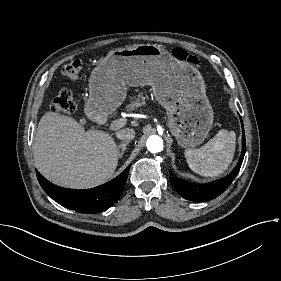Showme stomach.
Listing matches in <instances>:
<instances>
[{
  "label": "stomach",
  "mask_w": 281,
  "mask_h": 281,
  "mask_svg": "<svg viewBox=\"0 0 281 281\" xmlns=\"http://www.w3.org/2000/svg\"><path fill=\"white\" fill-rule=\"evenodd\" d=\"M152 85L167 110L171 133L182 147L201 144L213 127L214 112L201 73L158 45L140 44L110 51L89 79L84 106L89 120L110 115L126 97L127 86Z\"/></svg>",
  "instance_id": "1"
}]
</instances>
